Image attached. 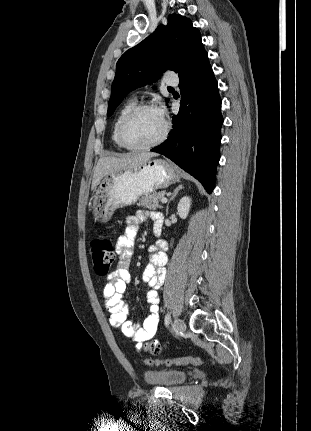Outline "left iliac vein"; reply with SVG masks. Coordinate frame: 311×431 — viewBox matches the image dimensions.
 Listing matches in <instances>:
<instances>
[{"label":"left iliac vein","instance_id":"4c4485c4","mask_svg":"<svg viewBox=\"0 0 311 431\" xmlns=\"http://www.w3.org/2000/svg\"><path fill=\"white\" fill-rule=\"evenodd\" d=\"M174 325H175V329H176L178 335L185 332L186 324L184 323V321L182 319L176 318Z\"/></svg>","mask_w":311,"mask_h":431}]
</instances>
